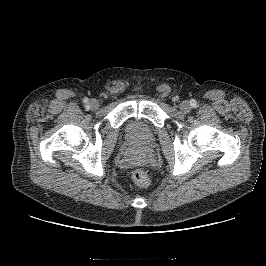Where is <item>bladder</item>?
<instances>
[{"instance_id": "bladder-1", "label": "bladder", "mask_w": 266, "mask_h": 266, "mask_svg": "<svg viewBox=\"0 0 266 266\" xmlns=\"http://www.w3.org/2000/svg\"><path fill=\"white\" fill-rule=\"evenodd\" d=\"M126 138L139 146H150L155 140L153 127L145 120H130L125 126Z\"/></svg>"}]
</instances>
